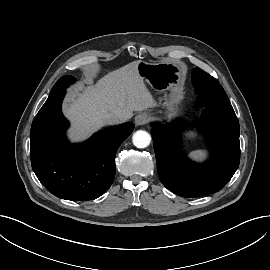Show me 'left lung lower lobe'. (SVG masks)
Instances as JSON below:
<instances>
[{
	"mask_svg": "<svg viewBox=\"0 0 270 270\" xmlns=\"http://www.w3.org/2000/svg\"><path fill=\"white\" fill-rule=\"evenodd\" d=\"M198 99L205 108L193 125L205 135L213 155L211 162L200 166L189 161L180 149L178 128L152 124L159 178L167 189L182 197H200L221 190L240 162V128L233 107L205 104L200 95Z\"/></svg>",
	"mask_w": 270,
	"mask_h": 270,
	"instance_id": "left-lung-lower-lobe-1",
	"label": "left lung lower lobe"
}]
</instances>
